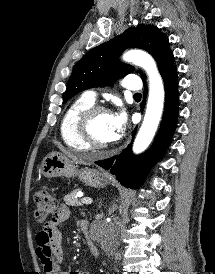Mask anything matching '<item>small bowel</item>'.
<instances>
[{"label":"small bowel","mask_w":215,"mask_h":274,"mask_svg":"<svg viewBox=\"0 0 215 274\" xmlns=\"http://www.w3.org/2000/svg\"><path fill=\"white\" fill-rule=\"evenodd\" d=\"M70 216V210L64 205L60 206L55 216L43 226L36 236V255L45 274H77L62 271L60 268L63 259V239L59 225L69 219ZM80 226L85 227L84 223H80Z\"/></svg>","instance_id":"c3829d8e"}]
</instances>
